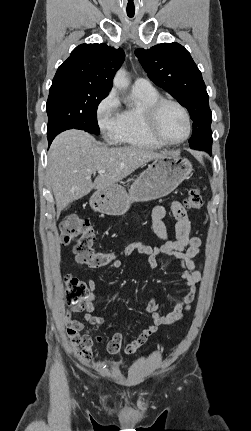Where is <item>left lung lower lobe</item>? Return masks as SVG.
<instances>
[{
  "instance_id": "left-lung-lower-lobe-1",
  "label": "left lung lower lobe",
  "mask_w": 251,
  "mask_h": 431,
  "mask_svg": "<svg viewBox=\"0 0 251 431\" xmlns=\"http://www.w3.org/2000/svg\"><path fill=\"white\" fill-rule=\"evenodd\" d=\"M198 130H199V128H198V127L193 126V131L197 132Z\"/></svg>"
}]
</instances>
